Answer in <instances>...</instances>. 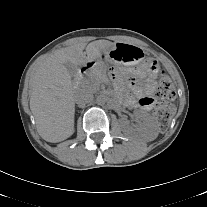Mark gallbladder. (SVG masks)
<instances>
[{
    "label": "gallbladder",
    "mask_w": 207,
    "mask_h": 207,
    "mask_svg": "<svg viewBox=\"0 0 207 207\" xmlns=\"http://www.w3.org/2000/svg\"><path fill=\"white\" fill-rule=\"evenodd\" d=\"M65 67L71 75H75L77 73V66L72 64L71 62H66Z\"/></svg>",
    "instance_id": "obj_1"
}]
</instances>
